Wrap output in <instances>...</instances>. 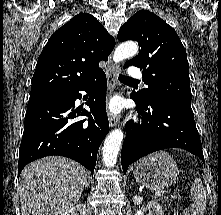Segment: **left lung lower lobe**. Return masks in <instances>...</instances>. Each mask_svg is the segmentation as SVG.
<instances>
[{"instance_id": "left-lung-lower-lobe-1", "label": "left lung lower lobe", "mask_w": 221, "mask_h": 215, "mask_svg": "<svg viewBox=\"0 0 221 215\" xmlns=\"http://www.w3.org/2000/svg\"><path fill=\"white\" fill-rule=\"evenodd\" d=\"M142 124L128 122L121 151L124 173L128 166L152 152L165 148H182L204 162L202 144L191 106L167 100L140 101L133 93Z\"/></svg>"}]
</instances>
